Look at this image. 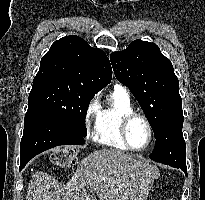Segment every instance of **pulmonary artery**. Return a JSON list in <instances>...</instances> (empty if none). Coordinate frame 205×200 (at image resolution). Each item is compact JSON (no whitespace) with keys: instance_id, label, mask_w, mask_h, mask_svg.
Wrapping results in <instances>:
<instances>
[{"instance_id":"1","label":"pulmonary artery","mask_w":205,"mask_h":200,"mask_svg":"<svg viewBox=\"0 0 205 200\" xmlns=\"http://www.w3.org/2000/svg\"><path fill=\"white\" fill-rule=\"evenodd\" d=\"M115 88L120 89V90H122V91L127 93V90H126V88L124 86L116 85Z\"/></svg>"}]
</instances>
